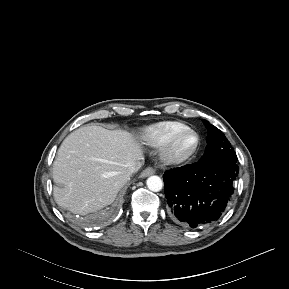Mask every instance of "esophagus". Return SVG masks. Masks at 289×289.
<instances>
[{
	"instance_id": "obj_1",
	"label": "esophagus",
	"mask_w": 289,
	"mask_h": 289,
	"mask_svg": "<svg viewBox=\"0 0 289 289\" xmlns=\"http://www.w3.org/2000/svg\"><path fill=\"white\" fill-rule=\"evenodd\" d=\"M155 173V169H153L152 167H148L145 170H143L141 172V177H148L150 175H153Z\"/></svg>"
}]
</instances>
